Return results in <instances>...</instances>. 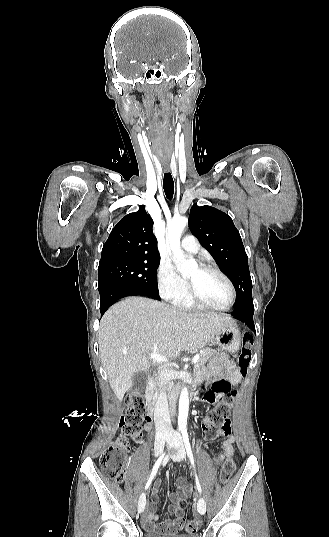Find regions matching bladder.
<instances>
[{
    "instance_id": "31cf9c89",
    "label": "bladder",
    "mask_w": 329,
    "mask_h": 537,
    "mask_svg": "<svg viewBox=\"0 0 329 537\" xmlns=\"http://www.w3.org/2000/svg\"><path fill=\"white\" fill-rule=\"evenodd\" d=\"M144 537H199L197 533H187V534H166V533H156L151 531H146Z\"/></svg>"
}]
</instances>
